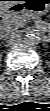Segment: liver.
I'll return each instance as SVG.
<instances>
[{"label": "liver", "instance_id": "6515ba94", "mask_svg": "<svg viewBox=\"0 0 50 111\" xmlns=\"http://www.w3.org/2000/svg\"><path fill=\"white\" fill-rule=\"evenodd\" d=\"M18 2L15 0H7V1H1L0 2V9L1 11H7L14 5H16Z\"/></svg>", "mask_w": 50, "mask_h": 111}]
</instances>
